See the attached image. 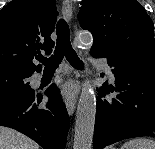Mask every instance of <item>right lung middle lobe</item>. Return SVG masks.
<instances>
[{"instance_id": "right-lung-middle-lobe-1", "label": "right lung middle lobe", "mask_w": 155, "mask_h": 149, "mask_svg": "<svg viewBox=\"0 0 155 149\" xmlns=\"http://www.w3.org/2000/svg\"><path fill=\"white\" fill-rule=\"evenodd\" d=\"M29 77L31 74L0 67V98H24L33 95Z\"/></svg>"}]
</instances>
